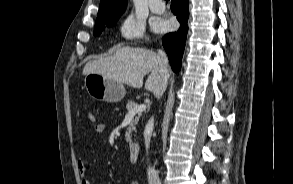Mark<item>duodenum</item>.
<instances>
[{
  "mask_svg": "<svg viewBox=\"0 0 293 184\" xmlns=\"http://www.w3.org/2000/svg\"><path fill=\"white\" fill-rule=\"evenodd\" d=\"M130 160L136 161L140 153V145L138 143L132 142L129 145Z\"/></svg>",
  "mask_w": 293,
  "mask_h": 184,
  "instance_id": "1",
  "label": "duodenum"
}]
</instances>
